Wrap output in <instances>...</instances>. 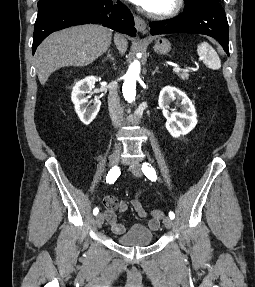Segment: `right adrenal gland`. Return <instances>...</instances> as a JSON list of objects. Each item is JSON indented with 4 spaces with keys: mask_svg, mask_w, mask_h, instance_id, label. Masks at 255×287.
<instances>
[{
    "mask_svg": "<svg viewBox=\"0 0 255 287\" xmlns=\"http://www.w3.org/2000/svg\"><path fill=\"white\" fill-rule=\"evenodd\" d=\"M106 60H114V58H112L110 50H108L107 52V58H105V60H102V64H105Z\"/></svg>",
    "mask_w": 255,
    "mask_h": 287,
    "instance_id": "obj_1",
    "label": "right adrenal gland"
}]
</instances>
